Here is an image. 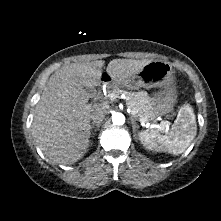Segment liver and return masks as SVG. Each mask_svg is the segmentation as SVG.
<instances>
[{
	"instance_id": "1",
	"label": "liver",
	"mask_w": 221,
	"mask_h": 221,
	"mask_svg": "<svg viewBox=\"0 0 221 221\" xmlns=\"http://www.w3.org/2000/svg\"><path fill=\"white\" fill-rule=\"evenodd\" d=\"M151 60L113 59L106 73L116 85L128 88L129 80ZM105 61L72 63L51 75L35 106L31 133L38 147L54 163L71 165L89 147L90 115L95 105L87 104L102 81Z\"/></svg>"
}]
</instances>
